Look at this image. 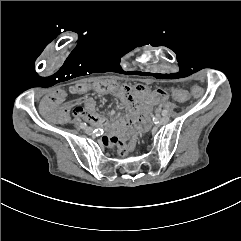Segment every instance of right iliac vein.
I'll use <instances>...</instances> for the list:
<instances>
[{
  "label": "right iliac vein",
  "instance_id": "right-iliac-vein-1",
  "mask_svg": "<svg viewBox=\"0 0 241 241\" xmlns=\"http://www.w3.org/2000/svg\"><path fill=\"white\" fill-rule=\"evenodd\" d=\"M85 132H86L87 134H92V133H93V129H92L91 127H86V128H85Z\"/></svg>",
  "mask_w": 241,
  "mask_h": 241
}]
</instances>
